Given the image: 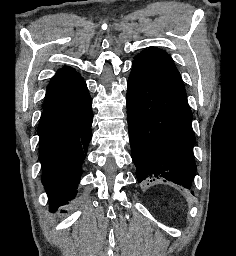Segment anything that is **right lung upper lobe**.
I'll list each match as a JSON object with an SVG mask.
<instances>
[{"label":"right lung upper lobe","instance_id":"cb5924a9","mask_svg":"<svg viewBox=\"0 0 236 256\" xmlns=\"http://www.w3.org/2000/svg\"><path fill=\"white\" fill-rule=\"evenodd\" d=\"M82 82L83 78L79 76L78 72L73 68L64 66L51 79L47 88L44 106Z\"/></svg>","mask_w":236,"mask_h":256}]
</instances>
